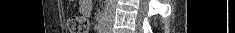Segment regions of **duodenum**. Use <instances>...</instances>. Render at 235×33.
<instances>
[{
	"label": "duodenum",
	"mask_w": 235,
	"mask_h": 33,
	"mask_svg": "<svg viewBox=\"0 0 235 33\" xmlns=\"http://www.w3.org/2000/svg\"><path fill=\"white\" fill-rule=\"evenodd\" d=\"M97 24H98V29H99L100 31H102L103 25H104L102 15H99V16H98Z\"/></svg>",
	"instance_id": "1"
}]
</instances>
